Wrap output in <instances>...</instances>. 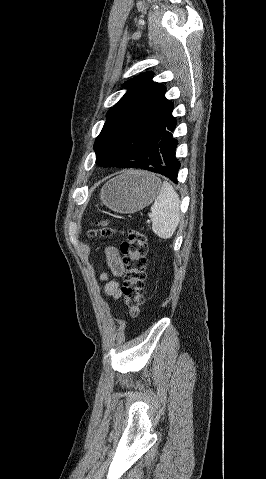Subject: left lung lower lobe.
I'll return each instance as SVG.
<instances>
[{
  "label": "left lung lower lobe",
  "mask_w": 266,
  "mask_h": 479,
  "mask_svg": "<svg viewBox=\"0 0 266 479\" xmlns=\"http://www.w3.org/2000/svg\"><path fill=\"white\" fill-rule=\"evenodd\" d=\"M173 107L167 117L162 136L158 143V151L153 160H147L137 168L146 169L168 177L177 183V175L180 169V162L176 158V148L178 142L173 138V131L176 127V119L172 116Z\"/></svg>",
  "instance_id": "0a47b994"
}]
</instances>
